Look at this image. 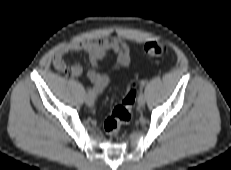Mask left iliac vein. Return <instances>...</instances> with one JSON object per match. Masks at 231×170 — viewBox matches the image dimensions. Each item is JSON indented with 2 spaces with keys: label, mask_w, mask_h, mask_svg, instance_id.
<instances>
[{
  "label": "left iliac vein",
  "mask_w": 231,
  "mask_h": 170,
  "mask_svg": "<svg viewBox=\"0 0 231 170\" xmlns=\"http://www.w3.org/2000/svg\"><path fill=\"white\" fill-rule=\"evenodd\" d=\"M146 102L145 96L143 94H140L138 97V105L144 106Z\"/></svg>",
  "instance_id": "1"
}]
</instances>
